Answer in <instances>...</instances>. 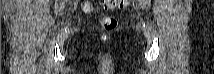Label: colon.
Masks as SVG:
<instances>
[{
    "label": "colon",
    "instance_id": "5ec220e1",
    "mask_svg": "<svg viewBox=\"0 0 214 74\" xmlns=\"http://www.w3.org/2000/svg\"><path fill=\"white\" fill-rule=\"evenodd\" d=\"M131 1L129 0H107L103 2L105 9H115V8H126L129 6ZM83 10L89 12L92 10V5L90 2L83 3ZM117 19L114 16H104L101 18V25L103 29L107 31H112L117 27Z\"/></svg>",
    "mask_w": 214,
    "mask_h": 74
}]
</instances>
